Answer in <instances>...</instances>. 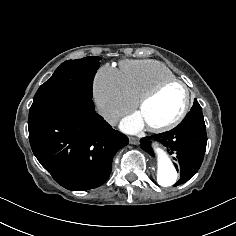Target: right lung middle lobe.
<instances>
[{
	"label": "right lung middle lobe",
	"mask_w": 236,
	"mask_h": 236,
	"mask_svg": "<svg viewBox=\"0 0 236 236\" xmlns=\"http://www.w3.org/2000/svg\"><path fill=\"white\" fill-rule=\"evenodd\" d=\"M100 60V57H85L63 62L39 87L30 111L65 100L91 99L93 79Z\"/></svg>",
	"instance_id": "obj_1"
}]
</instances>
